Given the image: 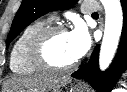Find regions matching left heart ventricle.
Returning a JSON list of instances; mask_svg holds the SVG:
<instances>
[{
    "label": "left heart ventricle",
    "instance_id": "obj_1",
    "mask_svg": "<svg viewBox=\"0 0 127 92\" xmlns=\"http://www.w3.org/2000/svg\"><path fill=\"white\" fill-rule=\"evenodd\" d=\"M47 55L49 60L58 66H64L76 60L70 47L68 33L56 34L51 39Z\"/></svg>",
    "mask_w": 127,
    "mask_h": 92
}]
</instances>
